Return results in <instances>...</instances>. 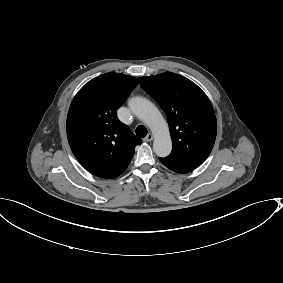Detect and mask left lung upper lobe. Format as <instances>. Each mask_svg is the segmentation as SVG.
I'll return each instance as SVG.
<instances>
[{"label":"left lung upper lobe","mask_w":283,"mask_h":283,"mask_svg":"<svg viewBox=\"0 0 283 283\" xmlns=\"http://www.w3.org/2000/svg\"><path fill=\"white\" fill-rule=\"evenodd\" d=\"M139 81L167 115L173 148L165 158L191 168L200 166L217 133L215 113L206 94L189 79L171 72L140 77Z\"/></svg>","instance_id":"1"}]
</instances>
